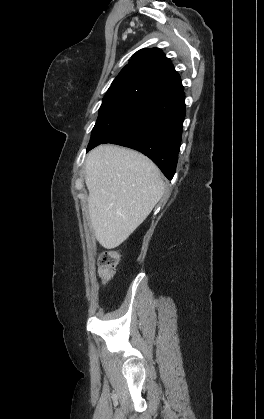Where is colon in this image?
Returning <instances> with one entry per match:
<instances>
[{
    "instance_id": "5ec220e1",
    "label": "colon",
    "mask_w": 264,
    "mask_h": 419,
    "mask_svg": "<svg viewBox=\"0 0 264 419\" xmlns=\"http://www.w3.org/2000/svg\"><path fill=\"white\" fill-rule=\"evenodd\" d=\"M119 262V254L115 251H105L99 258V275L104 283L109 282Z\"/></svg>"
}]
</instances>
